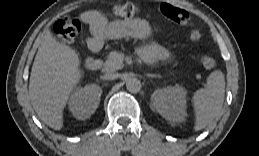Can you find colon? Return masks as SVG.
<instances>
[{"instance_id":"colon-1","label":"colon","mask_w":259,"mask_h":156,"mask_svg":"<svg viewBox=\"0 0 259 156\" xmlns=\"http://www.w3.org/2000/svg\"><path fill=\"white\" fill-rule=\"evenodd\" d=\"M112 11L119 17L131 19L141 12V7L137 4L127 2L115 5L112 8ZM161 12L164 17L170 21L181 26L189 27L190 33L188 37L191 41H197L200 38L199 30L194 27L192 19L186 11L171 5L164 4L161 6ZM54 30L61 42L71 43L79 34L81 30V24L76 19L64 17L55 23ZM200 62L207 70H212L216 66L215 60L206 54L200 56Z\"/></svg>"}]
</instances>
